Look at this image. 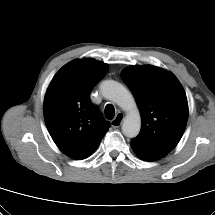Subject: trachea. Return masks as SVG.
I'll use <instances>...</instances> for the list:
<instances>
[{"instance_id":"1","label":"trachea","mask_w":215,"mask_h":215,"mask_svg":"<svg viewBox=\"0 0 215 215\" xmlns=\"http://www.w3.org/2000/svg\"><path fill=\"white\" fill-rule=\"evenodd\" d=\"M115 115V109L111 104H107L105 107V116L107 119H113Z\"/></svg>"}]
</instances>
